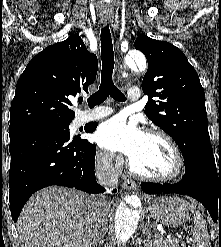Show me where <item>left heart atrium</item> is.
<instances>
[{
    "label": "left heart atrium",
    "mask_w": 221,
    "mask_h": 247,
    "mask_svg": "<svg viewBox=\"0 0 221 247\" xmlns=\"http://www.w3.org/2000/svg\"><path fill=\"white\" fill-rule=\"evenodd\" d=\"M144 136V131L135 122L116 116L99 126L95 140L101 147L131 158L138 151Z\"/></svg>",
    "instance_id": "1"
}]
</instances>
